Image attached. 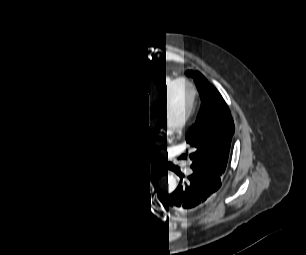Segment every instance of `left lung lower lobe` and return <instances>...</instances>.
Segmentation results:
<instances>
[{
	"label": "left lung lower lobe",
	"mask_w": 306,
	"mask_h": 255,
	"mask_svg": "<svg viewBox=\"0 0 306 255\" xmlns=\"http://www.w3.org/2000/svg\"><path fill=\"white\" fill-rule=\"evenodd\" d=\"M176 172L182 180L184 175L176 167ZM184 184H179L177 189L165 196L168 206L182 211H192L207 203L221 187V176L212 170L202 167L192 169Z\"/></svg>",
	"instance_id": "0a47b994"
}]
</instances>
